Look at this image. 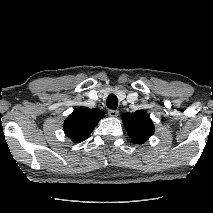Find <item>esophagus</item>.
I'll return each instance as SVG.
<instances>
[{
    "mask_svg": "<svg viewBox=\"0 0 213 213\" xmlns=\"http://www.w3.org/2000/svg\"><path fill=\"white\" fill-rule=\"evenodd\" d=\"M108 115L110 117H117L119 115V111L110 109V110H108Z\"/></svg>",
    "mask_w": 213,
    "mask_h": 213,
    "instance_id": "34e87169",
    "label": "esophagus"
}]
</instances>
